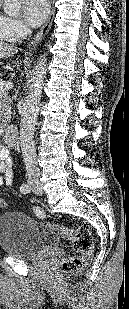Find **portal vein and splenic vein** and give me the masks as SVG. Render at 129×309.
Wrapping results in <instances>:
<instances>
[{
    "instance_id": "18ae733b",
    "label": "portal vein and splenic vein",
    "mask_w": 129,
    "mask_h": 309,
    "mask_svg": "<svg viewBox=\"0 0 129 309\" xmlns=\"http://www.w3.org/2000/svg\"><path fill=\"white\" fill-rule=\"evenodd\" d=\"M0 87L1 88L5 87L6 89H12L13 88V82L7 81L6 83L0 84Z\"/></svg>"
}]
</instances>
